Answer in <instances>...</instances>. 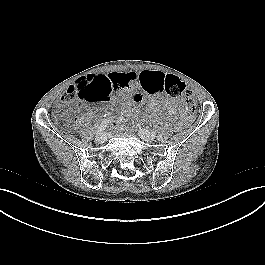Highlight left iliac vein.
Returning <instances> with one entry per match:
<instances>
[{"instance_id": "obj_1", "label": "left iliac vein", "mask_w": 265, "mask_h": 265, "mask_svg": "<svg viewBox=\"0 0 265 265\" xmlns=\"http://www.w3.org/2000/svg\"><path fill=\"white\" fill-rule=\"evenodd\" d=\"M139 136L145 140V141H148V142H151L154 140V137L153 135L146 129H141L139 130Z\"/></svg>"}]
</instances>
